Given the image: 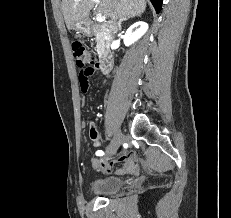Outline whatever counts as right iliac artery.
<instances>
[{
	"label": "right iliac artery",
	"mask_w": 231,
	"mask_h": 218,
	"mask_svg": "<svg viewBox=\"0 0 231 218\" xmlns=\"http://www.w3.org/2000/svg\"><path fill=\"white\" fill-rule=\"evenodd\" d=\"M96 155H97V156H103V155H104V152H103L102 150H98V151L96 152Z\"/></svg>",
	"instance_id": "right-iliac-artery-1"
}]
</instances>
